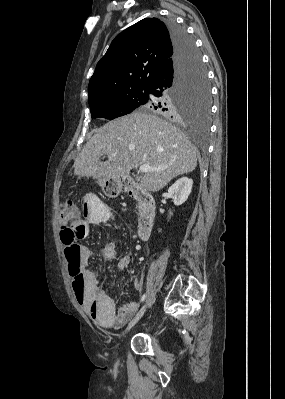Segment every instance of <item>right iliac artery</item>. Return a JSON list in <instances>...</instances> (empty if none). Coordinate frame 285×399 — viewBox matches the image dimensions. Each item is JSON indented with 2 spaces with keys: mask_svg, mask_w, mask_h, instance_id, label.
<instances>
[{
  "mask_svg": "<svg viewBox=\"0 0 285 399\" xmlns=\"http://www.w3.org/2000/svg\"><path fill=\"white\" fill-rule=\"evenodd\" d=\"M146 293H144L142 296H141V299H140V303H142V302H144V300L146 299Z\"/></svg>",
  "mask_w": 285,
  "mask_h": 399,
  "instance_id": "right-iliac-artery-1",
  "label": "right iliac artery"
}]
</instances>
